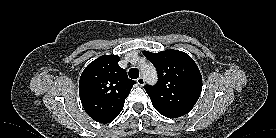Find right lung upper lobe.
<instances>
[{
  "label": "right lung upper lobe",
  "instance_id": "right-lung-upper-lobe-1",
  "mask_svg": "<svg viewBox=\"0 0 276 138\" xmlns=\"http://www.w3.org/2000/svg\"><path fill=\"white\" fill-rule=\"evenodd\" d=\"M117 55H102L82 72L79 95L86 113L100 123L112 122L122 111L135 84L118 65Z\"/></svg>",
  "mask_w": 276,
  "mask_h": 138
}]
</instances>
